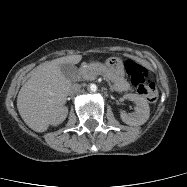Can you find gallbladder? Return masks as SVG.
Returning <instances> with one entry per match:
<instances>
[{
	"instance_id": "1",
	"label": "gallbladder",
	"mask_w": 187,
	"mask_h": 187,
	"mask_svg": "<svg viewBox=\"0 0 187 187\" xmlns=\"http://www.w3.org/2000/svg\"><path fill=\"white\" fill-rule=\"evenodd\" d=\"M60 69L66 78L72 77L75 72V67L70 63L61 64Z\"/></svg>"
}]
</instances>
